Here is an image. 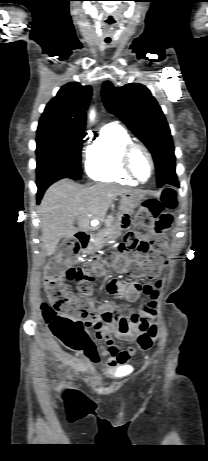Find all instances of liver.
<instances>
[{"mask_svg": "<svg viewBox=\"0 0 208 461\" xmlns=\"http://www.w3.org/2000/svg\"><path fill=\"white\" fill-rule=\"evenodd\" d=\"M137 191L111 184L85 187L63 179L48 188L40 204L41 241L47 256H51L61 238H71L78 232L97 227L91 221H104L113 200ZM78 227H75L74 221Z\"/></svg>", "mask_w": 208, "mask_h": 461, "instance_id": "1", "label": "liver"}]
</instances>
